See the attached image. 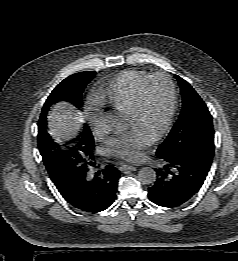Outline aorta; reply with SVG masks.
<instances>
[{
	"instance_id": "obj_1",
	"label": "aorta",
	"mask_w": 238,
	"mask_h": 261,
	"mask_svg": "<svg viewBox=\"0 0 238 261\" xmlns=\"http://www.w3.org/2000/svg\"><path fill=\"white\" fill-rule=\"evenodd\" d=\"M127 127L126 120L118 115H108L106 118L108 131H123ZM138 178L143 184H152L156 181V172L151 167H143L138 172Z\"/></svg>"
}]
</instances>
